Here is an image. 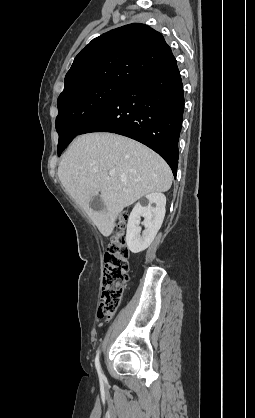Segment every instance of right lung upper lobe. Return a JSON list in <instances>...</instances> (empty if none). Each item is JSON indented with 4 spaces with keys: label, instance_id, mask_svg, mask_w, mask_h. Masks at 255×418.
I'll return each mask as SVG.
<instances>
[{
    "label": "right lung upper lobe",
    "instance_id": "right-lung-upper-lobe-1",
    "mask_svg": "<svg viewBox=\"0 0 255 418\" xmlns=\"http://www.w3.org/2000/svg\"><path fill=\"white\" fill-rule=\"evenodd\" d=\"M175 63L161 33L140 23L125 25L93 39L76 56L61 94L96 81L130 84Z\"/></svg>",
    "mask_w": 255,
    "mask_h": 418
}]
</instances>
